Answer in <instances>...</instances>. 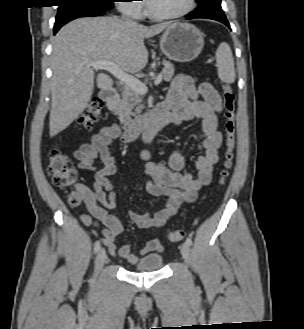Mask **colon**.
I'll list each match as a JSON object with an SVG mask.
<instances>
[{
  "mask_svg": "<svg viewBox=\"0 0 304 329\" xmlns=\"http://www.w3.org/2000/svg\"><path fill=\"white\" fill-rule=\"evenodd\" d=\"M222 98L224 107V129H225V150L223 153L222 169L219 174V184L223 185L229 176L233 164L234 150L236 146L235 134V95L229 84L222 85ZM102 111V103L99 99H92L84 110L80 125L89 129L99 119ZM48 175L54 185L65 189L72 187L77 178V171L69 157L58 148L51 150L49 154ZM83 200L81 192L76 189L69 193L68 204L71 207H78ZM184 232L171 230L168 239L171 242H179L183 239Z\"/></svg>",
  "mask_w": 304,
  "mask_h": 329,
  "instance_id": "colon-1",
  "label": "colon"
}]
</instances>
